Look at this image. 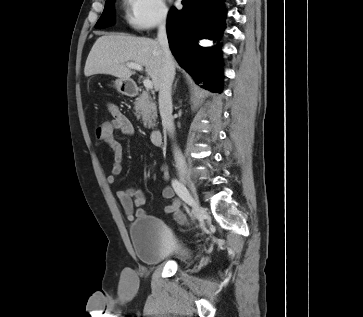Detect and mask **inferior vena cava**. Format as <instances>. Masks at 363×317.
I'll return each mask as SVG.
<instances>
[{"instance_id":"602c4592","label":"inferior vena cava","mask_w":363,"mask_h":317,"mask_svg":"<svg viewBox=\"0 0 363 317\" xmlns=\"http://www.w3.org/2000/svg\"><path fill=\"white\" fill-rule=\"evenodd\" d=\"M157 40L162 51V72L159 82V111L164 128L173 137L175 127L172 117L171 89L175 76V66L169 49L165 18H163L159 23ZM174 159L177 169L179 171H185V160L181 151L177 147L174 149Z\"/></svg>"}]
</instances>
